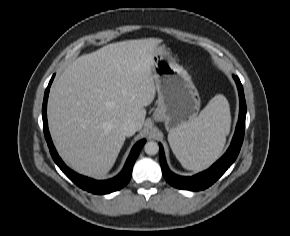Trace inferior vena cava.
Segmentation results:
<instances>
[{
  "label": "inferior vena cava",
  "instance_id": "obj_1",
  "mask_svg": "<svg viewBox=\"0 0 290 236\" xmlns=\"http://www.w3.org/2000/svg\"><path fill=\"white\" fill-rule=\"evenodd\" d=\"M121 130L125 136H132L137 131L135 123L130 120H127L122 124Z\"/></svg>",
  "mask_w": 290,
  "mask_h": 236
}]
</instances>
